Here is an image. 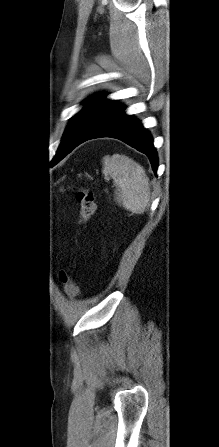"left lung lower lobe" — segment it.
<instances>
[{
	"instance_id": "1",
	"label": "left lung lower lobe",
	"mask_w": 219,
	"mask_h": 447,
	"mask_svg": "<svg viewBox=\"0 0 219 447\" xmlns=\"http://www.w3.org/2000/svg\"><path fill=\"white\" fill-rule=\"evenodd\" d=\"M125 107L117 106L102 122V124L94 130L90 135L78 143H74L67 151L58 157L53 158L51 166L57 164L62 158L70 153L76 146L82 142L100 137H111L122 140L128 145L134 147L138 151L146 154L150 160L153 171L157 172L158 158L156 150L153 146V140L150 133L143 125L132 115H127Z\"/></svg>"
}]
</instances>
